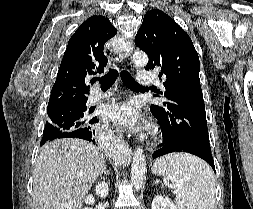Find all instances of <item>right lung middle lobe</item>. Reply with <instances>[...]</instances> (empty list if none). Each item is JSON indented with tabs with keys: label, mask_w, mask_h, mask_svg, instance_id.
I'll return each instance as SVG.
<instances>
[{
	"label": "right lung middle lobe",
	"mask_w": 253,
	"mask_h": 209,
	"mask_svg": "<svg viewBox=\"0 0 253 209\" xmlns=\"http://www.w3.org/2000/svg\"><path fill=\"white\" fill-rule=\"evenodd\" d=\"M85 104L62 106L48 110L44 134L53 135L58 131H72L87 127L92 123V116H89L90 112L87 111ZM43 139L41 140L42 145L47 142Z\"/></svg>",
	"instance_id": "1"
}]
</instances>
